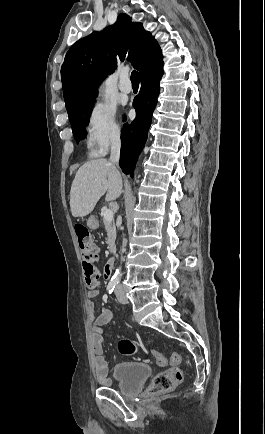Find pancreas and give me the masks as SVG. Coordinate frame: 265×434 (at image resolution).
<instances>
[{
    "label": "pancreas",
    "mask_w": 265,
    "mask_h": 434,
    "mask_svg": "<svg viewBox=\"0 0 265 434\" xmlns=\"http://www.w3.org/2000/svg\"><path fill=\"white\" fill-rule=\"evenodd\" d=\"M103 224L107 232L108 250H110V252H115L116 228L114 224L106 222V220H104Z\"/></svg>",
    "instance_id": "pancreas-1"
}]
</instances>
